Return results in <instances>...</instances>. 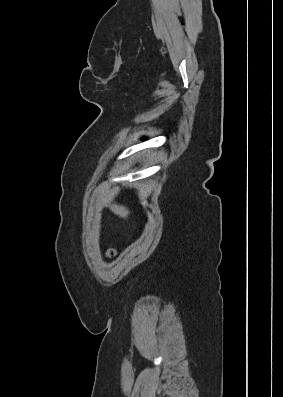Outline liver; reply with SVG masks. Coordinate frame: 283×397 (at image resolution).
Returning <instances> with one entry per match:
<instances>
[{"label":"liver","instance_id":"liver-1","mask_svg":"<svg viewBox=\"0 0 283 397\" xmlns=\"http://www.w3.org/2000/svg\"><path fill=\"white\" fill-rule=\"evenodd\" d=\"M110 209L114 214L118 215L121 218H126L129 215V210L122 205L113 204L110 205Z\"/></svg>","mask_w":283,"mask_h":397}]
</instances>
